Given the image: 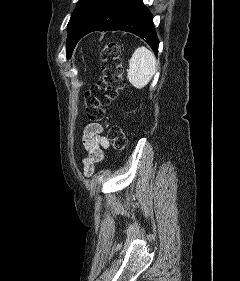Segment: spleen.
Masks as SVG:
<instances>
[{"label":"spleen","instance_id":"spleen-1","mask_svg":"<svg viewBox=\"0 0 240 281\" xmlns=\"http://www.w3.org/2000/svg\"><path fill=\"white\" fill-rule=\"evenodd\" d=\"M156 71V59L152 51L144 46L135 49L129 60L127 78L137 89L144 88Z\"/></svg>","mask_w":240,"mask_h":281}]
</instances>
